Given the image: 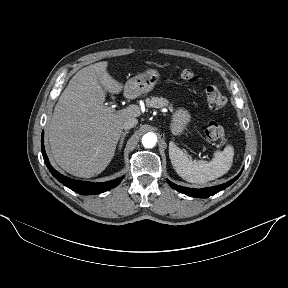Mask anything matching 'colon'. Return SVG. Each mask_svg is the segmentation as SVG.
Here are the masks:
<instances>
[{
  "label": "colon",
  "instance_id": "colon-1",
  "mask_svg": "<svg viewBox=\"0 0 288 288\" xmlns=\"http://www.w3.org/2000/svg\"><path fill=\"white\" fill-rule=\"evenodd\" d=\"M180 77L184 80H195L196 76L194 72L191 69L184 68L180 70L179 72ZM205 96H206V102L208 104V107L212 111H219L223 109L226 105V98L222 94V92L216 88L215 86H207L205 88ZM205 134L208 139L217 142L218 145L223 146L227 144L228 138L225 134V130L223 126L215 121L210 120L207 123Z\"/></svg>",
  "mask_w": 288,
  "mask_h": 288
}]
</instances>
